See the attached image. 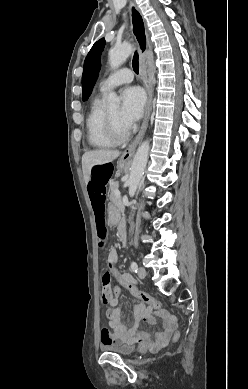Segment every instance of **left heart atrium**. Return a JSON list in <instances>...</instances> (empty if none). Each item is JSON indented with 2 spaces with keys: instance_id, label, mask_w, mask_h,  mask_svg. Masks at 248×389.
Returning <instances> with one entry per match:
<instances>
[{
  "instance_id": "39dd6f15",
  "label": "left heart atrium",
  "mask_w": 248,
  "mask_h": 389,
  "mask_svg": "<svg viewBox=\"0 0 248 389\" xmlns=\"http://www.w3.org/2000/svg\"><path fill=\"white\" fill-rule=\"evenodd\" d=\"M145 105V95L138 87H128L121 94V107L119 120L123 127L128 130L140 119Z\"/></svg>"
}]
</instances>
